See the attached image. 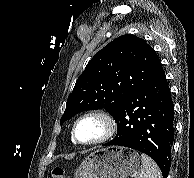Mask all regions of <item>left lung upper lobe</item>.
I'll return each mask as SVG.
<instances>
[{
    "mask_svg": "<svg viewBox=\"0 0 194 178\" xmlns=\"http://www.w3.org/2000/svg\"><path fill=\"white\" fill-rule=\"evenodd\" d=\"M164 72L145 40L122 35L101 49L87 64L68 96L60 124L77 113L105 108L111 115L131 94Z\"/></svg>",
    "mask_w": 194,
    "mask_h": 178,
    "instance_id": "obj_1",
    "label": "left lung upper lobe"
}]
</instances>
